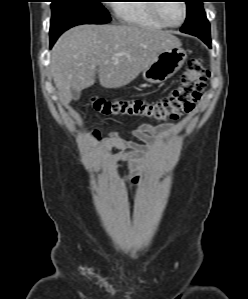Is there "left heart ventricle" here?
<instances>
[{
	"mask_svg": "<svg viewBox=\"0 0 248 299\" xmlns=\"http://www.w3.org/2000/svg\"><path fill=\"white\" fill-rule=\"evenodd\" d=\"M162 16L171 24H177L183 17V8L180 1H168L160 6Z\"/></svg>",
	"mask_w": 248,
	"mask_h": 299,
	"instance_id": "left-heart-ventricle-1",
	"label": "left heart ventricle"
}]
</instances>
